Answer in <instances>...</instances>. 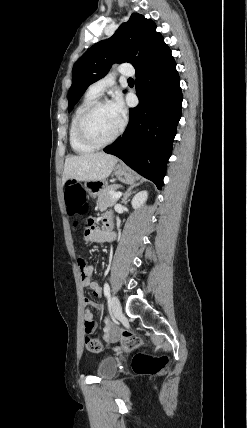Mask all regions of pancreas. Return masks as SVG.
I'll list each match as a JSON object with an SVG mask.
<instances>
[{
	"label": "pancreas",
	"mask_w": 247,
	"mask_h": 428,
	"mask_svg": "<svg viewBox=\"0 0 247 428\" xmlns=\"http://www.w3.org/2000/svg\"><path fill=\"white\" fill-rule=\"evenodd\" d=\"M121 185L113 184L103 187L98 194V208L100 211L106 210L107 207L114 205L117 199H112V194Z\"/></svg>",
	"instance_id": "cf45deb5"
}]
</instances>
